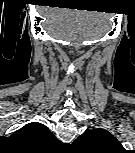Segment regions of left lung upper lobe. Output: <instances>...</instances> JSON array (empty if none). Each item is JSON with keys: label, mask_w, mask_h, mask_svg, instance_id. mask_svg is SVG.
<instances>
[{"label": "left lung upper lobe", "mask_w": 135, "mask_h": 153, "mask_svg": "<svg viewBox=\"0 0 135 153\" xmlns=\"http://www.w3.org/2000/svg\"><path fill=\"white\" fill-rule=\"evenodd\" d=\"M74 144L89 153H120L125 150L112 134L101 128L86 130Z\"/></svg>", "instance_id": "5c2ea615"}]
</instances>
